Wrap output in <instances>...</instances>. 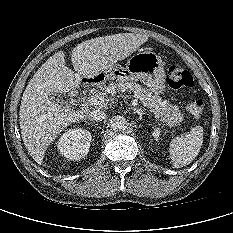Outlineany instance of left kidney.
Listing matches in <instances>:
<instances>
[{"label": "left kidney", "mask_w": 233, "mask_h": 233, "mask_svg": "<svg viewBox=\"0 0 233 233\" xmlns=\"http://www.w3.org/2000/svg\"><path fill=\"white\" fill-rule=\"evenodd\" d=\"M161 129L160 128H155L152 132V135L155 140H158L160 137Z\"/></svg>", "instance_id": "5707ae66"}]
</instances>
